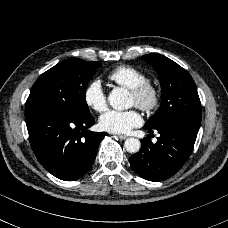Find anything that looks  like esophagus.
Here are the masks:
<instances>
[{"mask_svg": "<svg viewBox=\"0 0 228 228\" xmlns=\"http://www.w3.org/2000/svg\"><path fill=\"white\" fill-rule=\"evenodd\" d=\"M118 138L120 140H125L127 138V136L126 135H118Z\"/></svg>", "mask_w": 228, "mask_h": 228, "instance_id": "obj_1", "label": "esophagus"}]
</instances>
